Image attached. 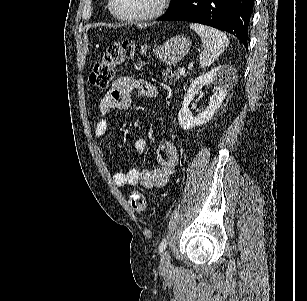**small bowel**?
<instances>
[{
    "label": "small bowel",
    "mask_w": 307,
    "mask_h": 301,
    "mask_svg": "<svg viewBox=\"0 0 307 301\" xmlns=\"http://www.w3.org/2000/svg\"><path fill=\"white\" fill-rule=\"evenodd\" d=\"M132 93H137L146 98L156 97L158 89L155 85L143 79H135L123 76L116 79L111 89L105 94L99 103L101 117L96 121L94 128L95 139L103 138L109 128L107 116L113 110L128 109L132 102ZM147 143L144 139H138L134 143V151L143 154ZM160 166L156 169H131L127 173L115 172L113 181L119 187L127 185L141 186L144 188H161L169 181L178 162V154L175 146L165 141L161 143L157 152Z\"/></svg>",
    "instance_id": "small-bowel-1"
}]
</instances>
